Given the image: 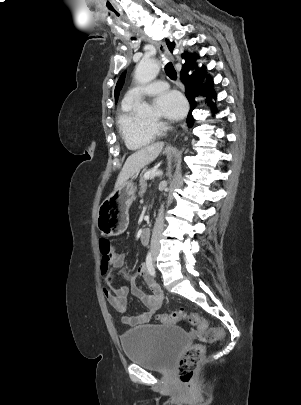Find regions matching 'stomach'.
Here are the masks:
<instances>
[{"label": "stomach", "instance_id": "stomach-1", "mask_svg": "<svg viewBox=\"0 0 301 405\" xmlns=\"http://www.w3.org/2000/svg\"><path fill=\"white\" fill-rule=\"evenodd\" d=\"M136 198L133 181L124 182L102 202L98 209L97 227L106 236L123 233L129 224L128 210Z\"/></svg>", "mask_w": 301, "mask_h": 405}]
</instances>
